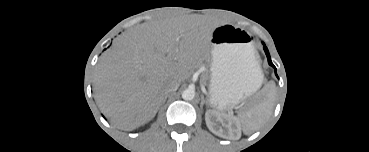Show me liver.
Returning <instances> with one entry per match:
<instances>
[{
	"instance_id": "liver-1",
	"label": "liver",
	"mask_w": 369,
	"mask_h": 152,
	"mask_svg": "<svg viewBox=\"0 0 369 152\" xmlns=\"http://www.w3.org/2000/svg\"><path fill=\"white\" fill-rule=\"evenodd\" d=\"M218 26L175 17L144 23L126 32L100 59L95 98L119 129L131 131L155 116L168 81L182 82L204 60Z\"/></svg>"
}]
</instances>
